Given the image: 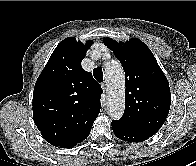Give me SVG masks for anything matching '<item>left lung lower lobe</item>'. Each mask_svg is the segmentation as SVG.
<instances>
[{
  "instance_id": "left-lung-lower-lobe-1",
  "label": "left lung lower lobe",
  "mask_w": 196,
  "mask_h": 166,
  "mask_svg": "<svg viewBox=\"0 0 196 166\" xmlns=\"http://www.w3.org/2000/svg\"><path fill=\"white\" fill-rule=\"evenodd\" d=\"M112 129L117 138L128 142H142L149 138L125 128L116 121H112Z\"/></svg>"
}]
</instances>
